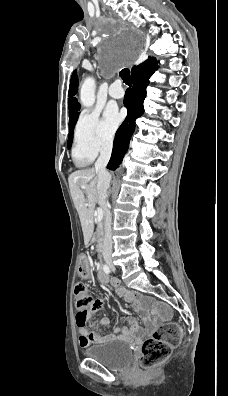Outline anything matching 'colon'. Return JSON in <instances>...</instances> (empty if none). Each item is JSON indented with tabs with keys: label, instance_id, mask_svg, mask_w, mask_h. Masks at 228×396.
<instances>
[{
	"label": "colon",
	"instance_id": "colon-1",
	"mask_svg": "<svg viewBox=\"0 0 228 396\" xmlns=\"http://www.w3.org/2000/svg\"><path fill=\"white\" fill-rule=\"evenodd\" d=\"M74 294L78 308L76 324L78 328H83L94 301L84 283L79 282L75 285ZM181 336L180 325L172 322L160 325L142 345L140 366L144 369H153L161 365L170 356L172 349L178 345Z\"/></svg>",
	"mask_w": 228,
	"mask_h": 396
}]
</instances>
